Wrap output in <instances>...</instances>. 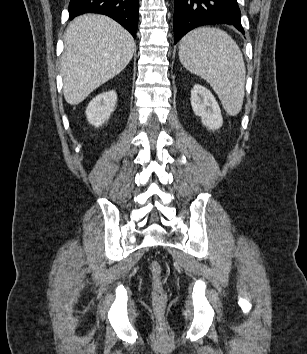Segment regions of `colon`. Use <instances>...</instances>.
<instances>
[{"mask_svg": "<svg viewBox=\"0 0 307 354\" xmlns=\"http://www.w3.org/2000/svg\"><path fill=\"white\" fill-rule=\"evenodd\" d=\"M153 280L152 298L157 310L162 311L166 303V293L163 287V271L158 261H153L150 265Z\"/></svg>", "mask_w": 307, "mask_h": 354, "instance_id": "colon-1", "label": "colon"}]
</instances>
